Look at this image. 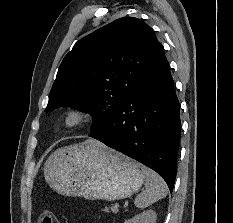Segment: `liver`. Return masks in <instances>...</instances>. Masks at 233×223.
<instances>
[{"instance_id": "1", "label": "liver", "mask_w": 233, "mask_h": 223, "mask_svg": "<svg viewBox=\"0 0 233 223\" xmlns=\"http://www.w3.org/2000/svg\"><path fill=\"white\" fill-rule=\"evenodd\" d=\"M87 141H93V139H87ZM98 143H100V141H98Z\"/></svg>"}]
</instances>
